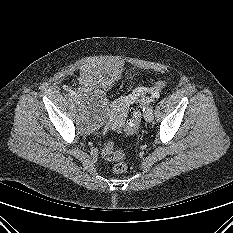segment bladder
I'll use <instances>...</instances> for the list:
<instances>
[{
  "mask_svg": "<svg viewBox=\"0 0 233 233\" xmlns=\"http://www.w3.org/2000/svg\"><path fill=\"white\" fill-rule=\"evenodd\" d=\"M119 77L120 70L114 66L87 65L81 69L77 103L85 132H92L107 122L109 112L105 89L113 85Z\"/></svg>",
  "mask_w": 233,
  "mask_h": 233,
  "instance_id": "1",
  "label": "bladder"
}]
</instances>
